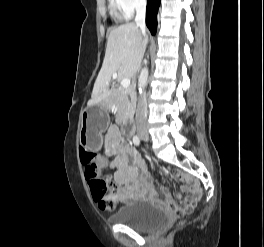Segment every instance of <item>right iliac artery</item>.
Masks as SVG:
<instances>
[{
  "instance_id": "82829eb1",
  "label": "right iliac artery",
  "mask_w": 264,
  "mask_h": 247,
  "mask_svg": "<svg viewBox=\"0 0 264 247\" xmlns=\"http://www.w3.org/2000/svg\"><path fill=\"white\" fill-rule=\"evenodd\" d=\"M133 143H134L136 146H138V145L140 144V138H139L137 135H135V136L133 137Z\"/></svg>"
}]
</instances>
